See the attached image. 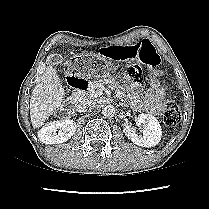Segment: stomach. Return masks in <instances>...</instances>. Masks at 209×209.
Returning <instances> with one entry per match:
<instances>
[{"mask_svg": "<svg viewBox=\"0 0 209 209\" xmlns=\"http://www.w3.org/2000/svg\"><path fill=\"white\" fill-rule=\"evenodd\" d=\"M64 68L71 76L95 80L112 76L117 66L110 57L101 56L99 53H88L67 58Z\"/></svg>", "mask_w": 209, "mask_h": 209, "instance_id": "stomach-1", "label": "stomach"}]
</instances>
